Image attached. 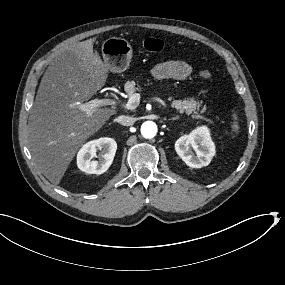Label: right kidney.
I'll return each instance as SVG.
<instances>
[{
	"mask_svg": "<svg viewBox=\"0 0 285 285\" xmlns=\"http://www.w3.org/2000/svg\"><path fill=\"white\" fill-rule=\"evenodd\" d=\"M117 150V143L112 138L103 137L85 144L77 156L80 170L88 174H103L113 162ZM99 152V160L97 158Z\"/></svg>",
	"mask_w": 285,
	"mask_h": 285,
	"instance_id": "obj_1",
	"label": "right kidney"
}]
</instances>
